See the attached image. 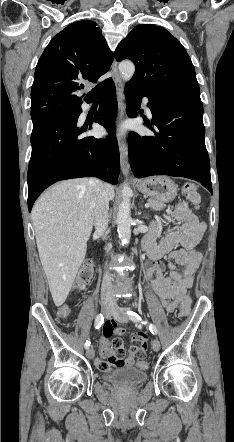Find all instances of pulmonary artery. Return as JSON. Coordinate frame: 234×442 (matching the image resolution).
Listing matches in <instances>:
<instances>
[{
	"label": "pulmonary artery",
	"instance_id": "pulmonary-artery-1",
	"mask_svg": "<svg viewBox=\"0 0 234 442\" xmlns=\"http://www.w3.org/2000/svg\"><path fill=\"white\" fill-rule=\"evenodd\" d=\"M143 105H144V109H145V111H146V114H147L149 117H152V113H151V110H150V108H149L148 100H147V99H144V100H143Z\"/></svg>",
	"mask_w": 234,
	"mask_h": 442
}]
</instances>
